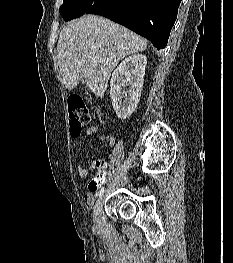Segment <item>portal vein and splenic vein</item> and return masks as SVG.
<instances>
[{
    "mask_svg": "<svg viewBox=\"0 0 233 263\" xmlns=\"http://www.w3.org/2000/svg\"><path fill=\"white\" fill-rule=\"evenodd\" d=\"M89 64H90L91 66H95V65L97 64V61H96L95 59H90V60H89Z\"/></svg>",
    "mask_w": 233,
    "mask_h": 263,
    "instance_id": "18ae733b",
    "label": "portal vein and splenic vein"
}]
</instances>
